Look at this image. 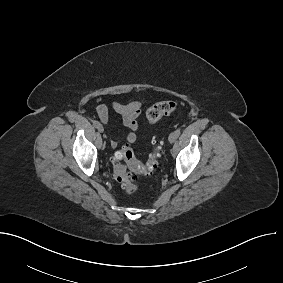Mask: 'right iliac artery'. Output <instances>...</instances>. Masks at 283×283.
Wrapping results in <instances>:
<instances>
[{
  "mask_svg": "<svg viewBox=\"0 0 283 283\" xmlns=\"http://www.w3.org/2000/svg\"><path fill=\"white\" fill-rule=\"evenodd\" d=\"M93 125L98 128L101 124L98 121H93Z\"/></svg>",
  "mask_w": 283,
  "mask_h": 283,
  "instance_id": "1",
  "label": "right iliac artery"
}]
</instances>
